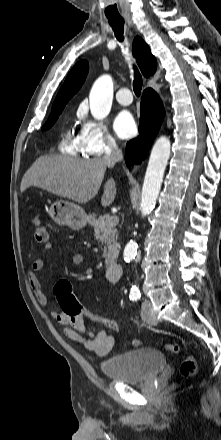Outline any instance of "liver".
Masks as SVG:
<instances>
[{"mask_svg": "<svg viewBox=\"0 0 221 440\" xmlns=\"http://www.w3.org/2000/svg\"><path fill=\"white\" fill-rule=\"evenodd\" d=\"M103 158L78 160L70 157L41 156L22 178L20 190L38 187L57 196L87 203L98 193L106 168ZM116 196V183L111 177L104 185L102 206H109Z\"/></svg>", "mask_w": 221, "mask_h": 440, "instance_id": "6515ba94", "label": "liver"}]
</instances>
